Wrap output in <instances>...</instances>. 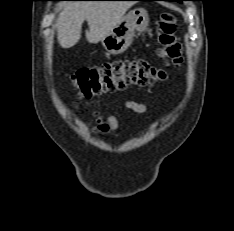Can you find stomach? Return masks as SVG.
I'll return each mask as SVG.
<instances>
[{
  "label": "stomach",
  "mask_w": 234,
  "mask_h": 231,
  "mask_svg": "<svg viewBox=\"0 0 234 231\" xmlns=\"http://www.w3.org/2000/svg\"><path fill=\"white\" fill-rule=\"evenodd\" d=\"M149 24L148 12L143 8L129 11L101 42L110 54L123 53L132 43L135 32H143Z\"/></svg>",
  "instance_id": "obj_1"
}]
</instances>
